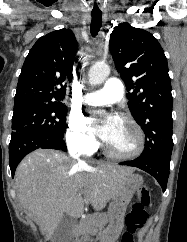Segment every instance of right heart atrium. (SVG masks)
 Here are the masks:
<instances>
[{"label":"right heart atrium","instance_id":"obj_1","mask_svg":"<svg viewBox=\"0 0 187 242\" xmlns=\"http://www.w3.org/2000/svg\"><path fill=\"white\" fill-rule=\"evenodd\" d=\"M66 141L73 152L82 155H90L98 147V142L89 127L88 121L81 113L70 115Z\"/></svg>","mask_w":187,"mask_h":242}]
</instances>
